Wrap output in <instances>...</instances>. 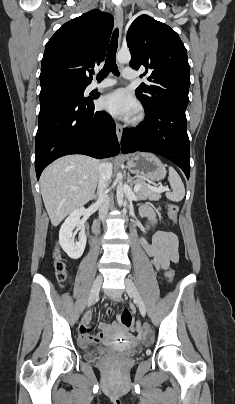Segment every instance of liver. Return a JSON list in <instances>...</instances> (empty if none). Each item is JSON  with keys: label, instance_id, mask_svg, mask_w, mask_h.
<instances>
[{"label": "liver", "instance_id": "6515ba94", "mask_svg": "<svg viewBox=\"0 0 235 404\" xmlns=\"http://www.w3.org/2000/svg\"><path fill=\"white\" fill-rule=\"evenodd\" d=\"M99 165L95 158L75 154L61 157L45 168L40 188L53 226L93 198Z\"/></svg>", "mask_w": 235, "mask_h": 404}]
</instances>
